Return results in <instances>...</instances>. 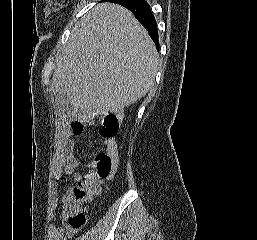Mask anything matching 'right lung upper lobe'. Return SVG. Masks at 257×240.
Returning a JSON list of instances; mask_svg holds the SVG:
<instances>
[{
	"mask_svg": "<svg viewBox=\"0 0 257 240\" xmlns=\"http://www.w3.org/2000/svg\"><path fill=\"white\" fill-rule=\"evenodd\" d=\"M106 1L124 5V4H126V1H128V0H106Z\"/></svg>",
	"mask_w": 257,
	"mask_h": 240,
	"instance_id": "cb5924a9",
	"label": "right lung upper lobe"
}]
</instances>
